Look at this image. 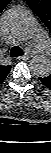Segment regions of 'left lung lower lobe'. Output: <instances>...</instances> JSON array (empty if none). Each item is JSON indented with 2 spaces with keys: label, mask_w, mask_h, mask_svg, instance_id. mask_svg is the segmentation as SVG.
Instances as JSON below:
<instances>
[{
  "label": "left lung lower lobe",
  "mask_w": 51,
  "mask_h": 153,
  "mask_svg": "<svg viewBox=\"0 0 51 153\" xmlns=\"http://www.w3.org/2000/svg\"><path fill=\"white\" fill-rule=\"evenodd\" d=\"M40 81L42 82L43 85H45L46 87L51 88V76H47V77H39Z\"/></svg>",
  "instance_id": "1"
}]
</instances>
